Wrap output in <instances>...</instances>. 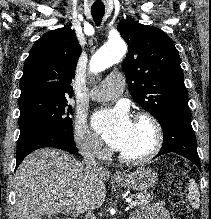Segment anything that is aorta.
<instances>
[{
    "label": "aorta",
    "mask_w": 211,
    "mask_h": 219,
    "mask_svg": "<svg viewBox=\"0 0 211 219\" xmlns=\"http://www.w3.org/2000/svg\"><path fill=\"white\" fill-rule=\"evenodd\" d=\"M127 52L126 44L121 40H113L103 45L92 57L90 70L100 72L113 65Z\"/></svg>",
    "instance_id": "762f6f07"
}]
</instances>
